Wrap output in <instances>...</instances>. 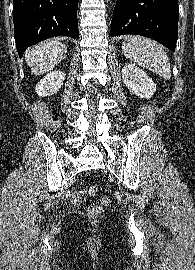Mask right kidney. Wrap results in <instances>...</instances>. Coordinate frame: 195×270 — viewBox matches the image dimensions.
I'll return each mask as SVG.
<instances>
[{"instance_id":"ca27d5eb","label":"right kidney","mask_w":195,"mask_h":270,"mask_svg":"<svg viewBox=\"0 0 195 270\" xmlns=\"http://www.w3.org/2000/svg\"><path fill=\"white\" fill-rule=\"evenodd\" d=\"M65 73L56 70L44 76L36 85L35 91L38 96H51L56 93L63 84Z\"/></svg>"}]
</instances>
